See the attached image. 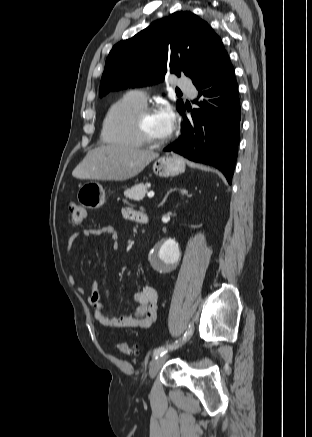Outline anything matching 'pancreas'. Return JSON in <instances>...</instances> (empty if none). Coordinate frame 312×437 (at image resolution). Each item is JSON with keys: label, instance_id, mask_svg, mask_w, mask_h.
Masks as SVG:
<instances>
[{"label": "pancreas", "instance_id": "obj_1", "mask_svg": "<svg viewBox=\"0 0 312 437\" xmlns=\"http://www.w3.org/2000/svg\"><path fill=\"white\" fill-rule=\"evenodd\" d=\"M147 190H148L147 184L140 183L133 186L131 189H127L124 192V195L130 200L140 201L143 200V198L145 197Z\"/></svg>", "mask_w": 312, "mask_h": 437}]
</instances>
